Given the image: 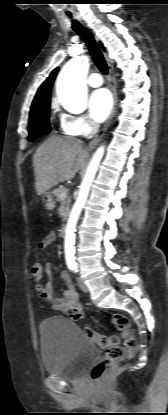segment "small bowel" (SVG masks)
<instances>
[{
  "instance_id": "1",
  "label": "small bowel",
  "mask_w": 168,
  "mask_h": 415,
  "mask_svg": "<svg viewBox=\"0 0 168 415\" xmlns=\"http://www.w3.org/2000/svg\"><path fill=\"white\" fill-rule=\"evenodd\" d=\"M55 240V232H50L40 242V249L45 250L49 248ZM42 272L43 275L45 273L48 276V282L45 286L41 283L35 284V288L40 297L45 300L53 310L66 314L71 320L77 321L82 319L84 317L83 306L69 274L66 271L60 273V278L66 285L67 289L63 291L60 297H54V273L52 264L50 262H46L42 268Z\"/></svg>"
}]
</instances>
